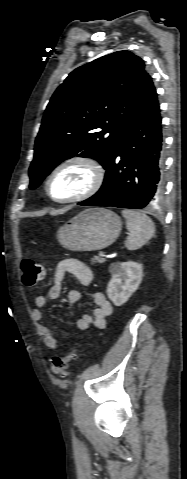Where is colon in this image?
I'll return each mask as SVG.
<instances>
[{
  "label": "colon",
  "mask_w": 187,
  "mask_h": 479,
  "mask_svg": "<svg viewBox=\"0 0 187 479\" xmlns=\"http://www.w3.org/2000/svg\"><path fill=\"white\" fill-rule=\"evenodd\" d=\"M21 268L23 272V282L27 286H33L44 278V265L33 259H24ZM78 356L79 351L76 347L71 348L66 353L53 356L50 359L51 371L56 375L66 377L68 375V367L70 363L75 361Z\"/></svg>",
  "instance_id": "colon-1"
}]
</instances>
